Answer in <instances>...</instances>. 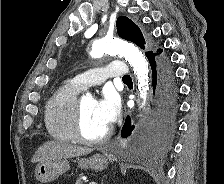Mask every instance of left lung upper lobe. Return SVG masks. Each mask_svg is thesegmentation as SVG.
Returning <instances> with one entry per match:
<instances>
[{"mask_svg": "<svg viewBox=\"0 0 224 184\" xmlns=\"http://www.w3.org/2000/svg\"><path fill=\"white\" fill-rule=\"evenodd\" d=\"M116 27L117 33L121 38L131 41L138 45L140 48L144 49L145 41L143 35L138 26L130 19L124 16L119 17L116 22ZM151 53L153 52H146V56Z\"/></svg>", "mask_w": 224, "mask_h": 184, "instance_id": "left-lung-upper-lobe-1", "label": "left lung upper lobe"}]
</instances>
